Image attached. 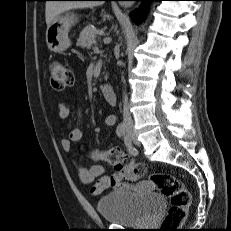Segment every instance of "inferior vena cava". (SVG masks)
I'll use <instances>...</instances> for the list:
<instances>
[{
    "mask_svg": "<svg viewBox=\"0 0 231 231\" xmlns=\"http://www.w3.org/2000/svg\"><path fill=\"white\" fill-rule=\"evenodd\" d=\"M123 121L126 126L133 125V120L129 112L128 97L125 93L123 95Z\"/></svg>",
    "mask_w": 231,
    "mask_h": 231,
    "instance_id": "obj_1",
    "label": "inferior vena cava"
}]
</instances>
